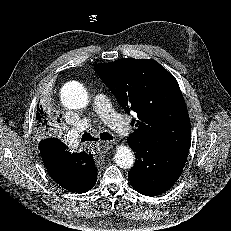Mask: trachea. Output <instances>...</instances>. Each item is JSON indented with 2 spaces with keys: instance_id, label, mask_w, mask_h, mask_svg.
I'll return each mask as SVG.
<instances>
[{
  "instance_id": "trachea-1",
  "label": "trachea",
  "mask_w": 231,
  "mask_h": 231,
  "mask_svg": "<svg viewBox=\"0 0 231 231\" xmlns=\"http://www.w3.org/2000/svg\"><path fill=\"white\" fill-rule=\"evenodd\" d=\"M100 139L105 140V141H110L113 139V136L108 133V132H102L100 133ZM99 138L92 137L89 133H84L82 135L81 141L86 142V141H98Z\"/></svg>"
}]
</instances>
